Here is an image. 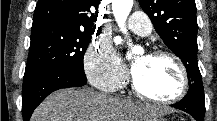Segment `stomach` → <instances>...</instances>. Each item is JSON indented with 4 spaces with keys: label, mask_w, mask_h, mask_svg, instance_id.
Segmentation results:
<instances>
[{
    "label": "stomach",
    "mask_w": 217,
    "mask_h": 121,
    "mask_svg": "<svg viewBox=\"0 0 217 121\" xmlns=\"http://www.w3.org/2000/svg\"><path fill=\"white\" fill-rule=\"evenodd\" d=\"M153 121H165V119L162 117L156 116L154 117Z\"/></svg>",
    "instance_id": "1"
}]
</instances>
